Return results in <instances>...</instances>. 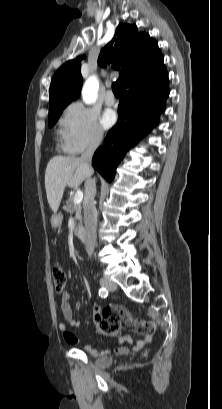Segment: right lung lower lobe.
Segmentation results:
<instances>
[{
  "instance_id": "1",
  "label": "right lung lower lobe",
  "mask_w": 222,
  "mask_h": 409,
  "mask_svg": "<svg viewBox=\"0 0 222 409\" xmlns=\"http://www.w3.org/2000/svg\"><path fill=\"white\" fill-rule=\"evenodd\" d=\"M166 68L134 79L122 91L118 121L92 159L95 169L108 181L126 152L158 124L169 95Z\"/></svg>"
}]
</instances>
